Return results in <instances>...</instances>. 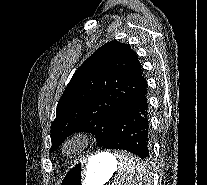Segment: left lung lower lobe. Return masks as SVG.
<instances>
[{
    "label": "left lung lower lobe",
    "instance_id": "obj_1",
    "mask_svg": "<svg viewBox=\"0 0 207 185\" xmlns=\"http://www.w3.org/2000/svg\"><path fill=\"white\" fill-rule=\"evenodd\" d=\"M147 86L119 112L102 150H126L142 159L149 156Z\"/></svg>",
    "mask_w": 207,
    "mask_h": 185
}]
</instances>
